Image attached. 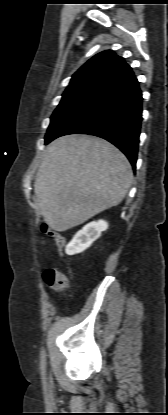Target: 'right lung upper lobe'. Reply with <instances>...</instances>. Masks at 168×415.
I'll return each mask as SVG.
<instances>
[{
	"label": "right lung upper lobe",
	"instance_id": "right-lung-upper-lobe-1",
	"mask_svg": "<svg viewBox=\"0 0 168 415\" xmlns=\"http://www.w3.org/2000/svg\"><path fill=\"white\" fill-rule=\"evenodd\" d=\"M132 72L131 67L113 51L106 50L89 59L73 76L63 95L94 91L103 92Z\"/></svg>",
	"mask_w": 168,
	"mask_h": 415
}]
</instances>
